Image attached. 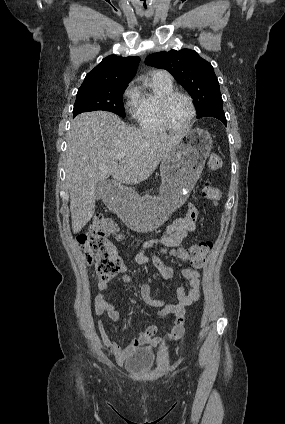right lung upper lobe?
<instances>
[{"mask_svg": "<svg viewBox=\"0 0 285 424\" xmlns=\"http://www.w3.org/2000/svg\"><path fill=\"white\" fill-rule=\"evenodd\" d=\"M140 58L110 55L89 72L81 87L128 84L135 76Z\"/></svg>", "mask_w": 285, "mask_h": 424, "instance_id": "obj_1", "label": "right lung upper lobe"}]
</instances>
